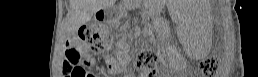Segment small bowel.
<instances>
[{
  "label": "small bowel",
  "instance_id": "obj_1",
  "mask_svg": "<svg viewBox=\"0 0 258 77\" xmlns=\"http://www.w3.org/2000/svg\"><path fill=\"white\" fill-rule=\"evenodd\" d=\"M81 51L83 53L84 61L87 64H94L95 63L96 58L93 54H91L86 48H82ZM105 65L109 69V71H111V72H116L117 71L115 61H114L113 58L107 57L105 59Z\"/></svg>",
  "mask_w": 258,
  "mask_h": 77
}]
</instances>
